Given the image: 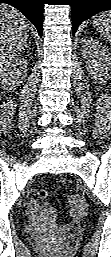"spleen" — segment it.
<instances>
[{
    "mask_svg": "<svg viewBox=\"0 0 111 257\" xmlns=\"http://www.w3.org/2000/svg\"><path fill=\"white\" fill-rule=\"evenodd\" d=\"M97 31L111 42V11L102 12L93 18Z\"/></svg>",
    "mask_w": 111,
    "mask_h": 257,
    "instance_id": "spleen-1",
    "label": "spleen"
}]
</instances>
